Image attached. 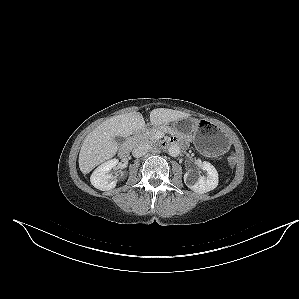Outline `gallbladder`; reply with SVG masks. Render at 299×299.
<instances>
[{
  "label": "gallbladder",
  "instance_id": "1",
  "mask_svg": "<svg viewBox=\"0 0 299 299\" xmlns=\"http://www.w3.org/2000/svg\"><path fill=\"white\" fill-rule=\"evenodd\" d=\"M114 139H115V141H116V143H117L118 145L123 144L124 141H125V139H124L123 137H120V136H116V137H114Z\"/></svg>",
  "mask_w": 299,
  "mask_h": 299
}]
</instances>
